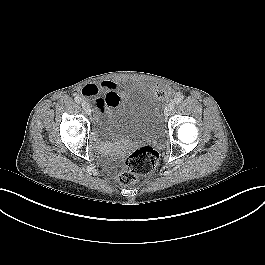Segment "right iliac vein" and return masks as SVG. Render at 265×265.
Returning <instances> with one entry per match:
<instances>
[{
  "label": "right iliac vein",
  "instance_id": "obj_1",
  "mask_svg": "<svg viewBox=\"0 0 265 265\" xmlns=\"http://www.w3.org/2000/svg\"><path fill=\"white\" fill-rule=\"evenodd\" d=\"M82 107L85 110L86 114H88V115L91 114L92 110H91V106L88 102H83Z\"/></svg>",
  "mask_w": 265,
  "mask_h": 265
}]
</instances>
